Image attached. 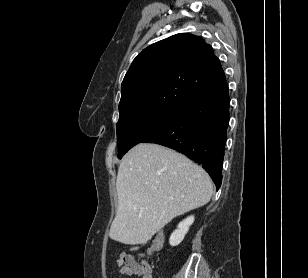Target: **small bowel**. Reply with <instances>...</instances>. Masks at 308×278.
I'll use <instances>...</instances> for the list:
<instances>
[{
	"label": "small bowel",
	"instance_id": "obj_1",
	"mask_svg": "<svg viewBox=\"0 0 308 278\" xmlns=\"http://www.w3.org/2000/svg\"><path fill=\"white\" fill-rule=\"evenodd\" d=\"M123 255H124V253H121V254H120V256H119V258H118V260H117V264H118V265H119V260H120V258H121ZM119 272H120V274H126V272H125L122 268H120ZM140 276H141V278H153V277H152L151 267H150L148 264L146 265V270H145V272L142 273Z\"/></svg>",
	"mask_w": 308,
	"mask_h": 278
}]
</instances>
